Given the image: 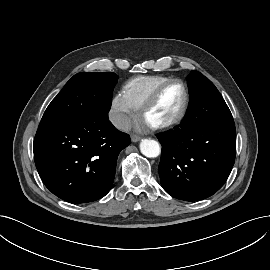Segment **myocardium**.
Listing matches in <instances>:
<instances>
[{"label":"myocardium","instance_id":"myocardium-1","mask_svg":"<svg viewBox=\"0 0 270 270\" xmlns=\"http://www.w3.org/2000/svg\"><path fill=\"white\" fill-rule=\"evenodd\" d=\"M172 84H180L183 87V90H184L183 102H182L181 106L179 107V109L172 116H170L168 119L161 121V122H158V123L148 124V126L153 130L159 131V130H165V129L172 128V127L176 126L177 124H179L185 118V116L187 114L189 104H190L189 88L183 80L177 79V78H172V79H169V80L161 83L153 91V93L150 95V97L145 101V103L139 109L140 110V118L144 120V118L147 115V113L149 112V110L158 101L162 92L168 86H170Z\"/></svg>","mask_w":270,"mask_h":270}]
</instances>
